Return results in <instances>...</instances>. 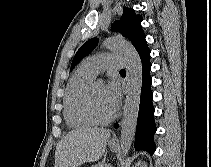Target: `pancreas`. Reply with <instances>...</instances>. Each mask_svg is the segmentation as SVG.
Instances as JSON below:
<instances>
[{
	"instance_id": "pancreas-1",
	"label": "pancreas",
	"mask_w": 211,
	"mask_h": 167,
	"mask_svg": "<svg viewBox=\"0 0 211 167\" xmlns=\"http://www.w3.org/2000/svg\"><path fill=\"white\" fill-rule=\"evenodd\" d=\"M91 167H111L110 164L106 163H98L96 165H92Z\"/></svg>"
}]
</instances>
